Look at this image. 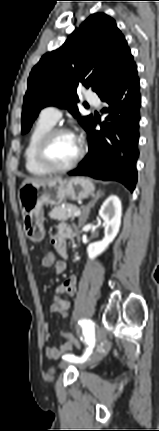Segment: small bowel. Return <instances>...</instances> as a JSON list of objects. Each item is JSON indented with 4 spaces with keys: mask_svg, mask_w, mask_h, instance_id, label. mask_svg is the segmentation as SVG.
Instances as JSON below:
<instances>
[{
    "mask_svg": "<svg viewBox=\"0 0 159 431\" xmlns=\"http://www.w3.org/2000/svg\"><path fill=\"white\" fill-rule=\"evenodd\" d=\"M72 235H73L72 229L66 224H61L58 226L57 231L53 233L51 236V241L55 250L63 258L67 257L66 240L72 237ZM53 261H54V266H53L54 272L56 274H61L62 272H64V270L66 269V263L64 261H57L56 258H54ZM41 265L47 268L46 266L47 262H46L45 256L42 258ZM76 283H77V277L75 275H71L67 279H65L63 283L55 287L54 293L52 295L53 305L50 308V311L52 313H60L62 316V311L69 309L70 302L68 298L73 297L75 295ZM42 329L44 332V339L49 340L50 338L49 324L47 322H44L42 324ZM63 338L66 341L60 346L58 347L49 346L46 348L47 357L58 358L73 349L74 346H72V343L67 339V337H63Z\"/></svg>",
    "mask_w": 159,
    "mask_h": 431,
    "instance_id": "1",
    "label": "small bowel"
}]
</instances>
